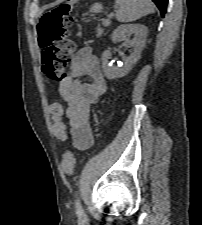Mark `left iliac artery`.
<instances>
[{
    "label": "left iliac artery",
    "instance_id": "left-iliac-artery-1",
    "mask_svg": "<svg viewBox=\"0 0 202 225\" xmlns=\"http://www.w3.org/2000/svg\"><path fill=\"white\" fill-rule=\"evenodd\" d=\"M75 207H76V214L78 216H82L84 214L83 208L81 206V202L79 200V198L76 199L75 201Z\"/></svg>",
    "mask_w": 202,
    "mask_h": 225
}]
</instances>
